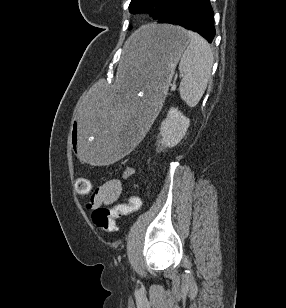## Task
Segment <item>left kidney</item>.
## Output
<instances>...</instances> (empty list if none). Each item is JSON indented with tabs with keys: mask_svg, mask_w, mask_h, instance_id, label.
<instances>
[{
	"mask_svg": "<svg viewBox=\"0 0 286 308\" xmlns=\"http://www.w3.org/2000/svg\"><path fill=\"white\" fill-rule=\"evenodd\" d=\"M189 125L190 120L178 108L172 107L166 119L161 123L160 135L162 136V146L165 148L176 146L186 135Z\"/></svg>",
	"mask_w": 286,
	"mask_h": 308,
	"instance_id": "obj_1",
	"label": "left kidney"
}]
</instances>
